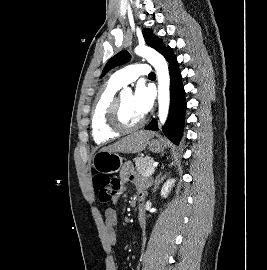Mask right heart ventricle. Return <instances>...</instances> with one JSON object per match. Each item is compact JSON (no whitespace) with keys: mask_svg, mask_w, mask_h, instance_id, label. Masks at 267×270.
Wrapping results in <instances>:
<instances>
[{"mask_svg":"<svg viewBox=\"0 0 267 270\" xmlns=\"http://www.w3.org/2000/svg\"><path fill=\"white\" fill-rule=\"evenodd\" d=\"M121 87L111 78L96 97L91 124L92 136L97 144H106L120 135L109 127L107 117L116 93Z\"/></svg>","mask_w":267,"mask_h":270,"instance_id":"1","label":"right heart ventricle"}]
</instances>
